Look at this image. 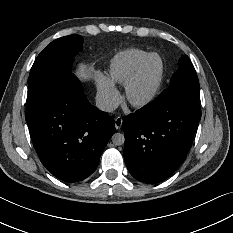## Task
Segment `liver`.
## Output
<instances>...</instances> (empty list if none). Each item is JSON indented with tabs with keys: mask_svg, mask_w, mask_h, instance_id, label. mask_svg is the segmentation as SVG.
<instances>
[{
	"mask_svg": "<svg viewBox=\"0 0 233 233\" xmlns=\"http://www.w3.org/2000/svg\"><path fill=\"white\" fill-rule=\"evenodd\" d=\"M76 75L81 79H87L89 77L87 66L84 64H80L76 71Z\"/></svg>",
	"mask_w": 233,
	"mask_h": 233,
	"instance_id": "obj_1",
	"label": "liver"
}]
</instances>
